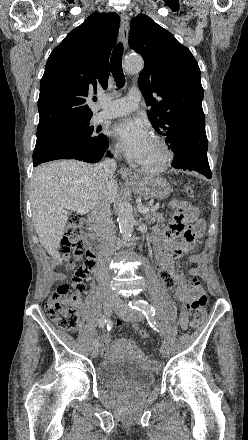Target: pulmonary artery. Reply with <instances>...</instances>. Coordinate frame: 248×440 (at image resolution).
Here are the masks:
<instances>
[{
	"label": "pulmonary artery",
	"instance_id": "e3ab8cb5",
	"mask_svg": "<svg viewBox=\"0 0 248 440\" xmlns=\"http://www.w3.org/2000/svg\"><path fill=\"white\" fill-rule=\"evenodd\" d=\"M141 100V92L132 89L125 97L109 100L102 96L99 98L97 107L99 111L93 115V122L100 123L106 119L116 118L131 113Z\"/></svg>",
	"mask_w": 248,
	"mask_h": 440
}]
</instances>
